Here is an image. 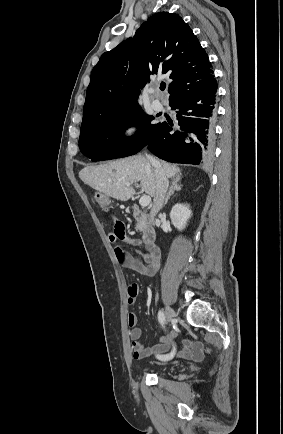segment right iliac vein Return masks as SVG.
Segmentation results:
<instances>
[{"mask_svg":"<svg viewBox=\"0 0 283 434\" xmlns=\"http://www.w3.org/2000/svg\"><path fill=\"white\" fill-rule=\"evenodd\" d=\"M165 315L169 322L173 321L177 317L176 312L169 306L165 307Z\"/></svg>","mask_w":283,"mask_h":434,"instance_id":"right-iliac-vein-1","label":"right iliac vein"}]
</instances>
